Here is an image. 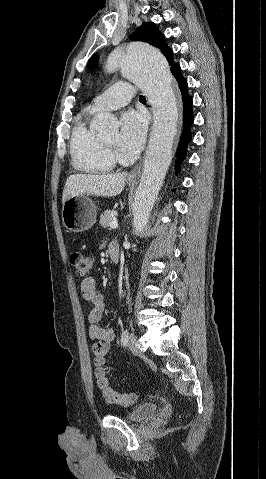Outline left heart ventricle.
<instances>
[{"label": "left heart ventricle", "instance_id": "left-heart-ventricle-1", "mask_svg": "<svg viewBox=\"0 0 266 479\" xmlns=\"http://www.w3.org/2000/svg\"><path fill=\"white\" fill-rule=\"evenodd\" d=\"M104 139L106 141H108L109 143L113 144V145H116L117 144V134L114 133V134H111V135H108L106 137H104Z\"/></svg>", "mask_w": 266, "mask_h": 479}]
</instances>
